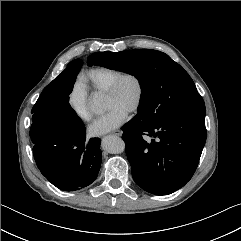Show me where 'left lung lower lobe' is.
<instances>
[{
	"instance_id": "left-lung-lower-lobe-1",
	"label": "left lung lower lobe",
	"mask_w": 241,
	"mask_h": 241,
	"mask_svg": "<svg viewBox=\"0 0 241 241\" xmlns=\"http://www.w3.org/2000/svg\"><path fill=\"white\" fill-rule=\"evenodd\" d=\"M122 130L134 181L155 195L171 194L191 179L207 136L205 115L185 113L156 123L135 116ZM144 135L157 140L148 143Z\"/></svg>"
}]
</instances>
